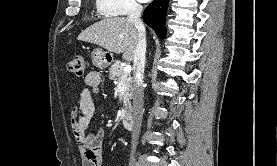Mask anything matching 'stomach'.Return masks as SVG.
Masks as SVG:
<instances>
[{"label": "stomach", "instance_id": "0dacf381", "mask_svg": "<svg viewBox=\"0 0 277 166\" xmlns=\"http://www.w3.org/2000/svg\"><path fill=\"white\" fill-rule=\"evenodd\" d=\"M112 54L100 48H96L91 53V60L94 66L104 69L112 62Z\"/></svg>", "mask_w": 277, "mask_h": 166}]
</instances>
